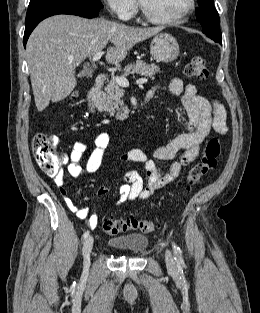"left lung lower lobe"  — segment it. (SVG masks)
Instances as JSON below:
<instances>
[{"label": "left lung lower lobe", "mask_w": 260, "mask_h": 313, "mask_svg": "<svg viewBox=\"0 0 260 313\" xmlns=\"http://www.w3.org/2000/svg\"><path fill=\"white\" fill-rule=\"evenodd\" d=\"M221 41H222V40H221ZM221 41H217V40H216V42H218V43L222 44V43H221Z\"/></svg>", "instance_id": "0a47b994"}]
</instances>
